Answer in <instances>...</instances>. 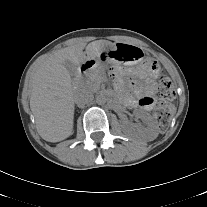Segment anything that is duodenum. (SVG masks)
I'll return each mask as SVG.
<instances>
[{"label":"duodenum","mask_w":207,"mask_h":207,"mask_svg":"<svg viewBox=\"0 0 207 207\" xmlns=\"http://www.w3.org/2000/svg\"><path fill=\"white\" fill-rule=\"evenodd\" d=\"M92 66H93V62L85 61L81 64V66L79 68V72L83 73V72L87 71L88 69H90Z\"/></svg>","instance_id":"obj_1"}]
</instances>
